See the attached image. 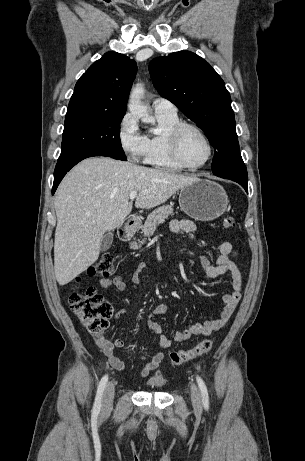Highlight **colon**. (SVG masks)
<instances>
[{
	"instance_id": "1",
	"label": "colon",
	"mask_w": 305,
	"mask_h": 461,
	"mask_svg": "<svg viewBox=\"0 0 305 461\" xmlns=\"http://www.w3.org/2000/svg\"><path fill=\"white\" fill-rule=\"evenodd\" d=\"M222 225L226 229H232L235 228L236 221L234 217L228 215L223 218ZM115 270L113 256L108 253L97 260L90 273L108 278L115 274ZM69 306L86 331L94 335L101 334L107 328V320L113 313L112 305L93 287H89L84 293L71 292ZM212 347L213 340L205 339L191 349L171 352L169 358L172 364L181 365L203 356Z\"/></svg>"
}]
</instances>
